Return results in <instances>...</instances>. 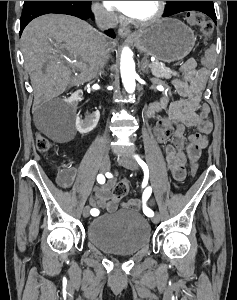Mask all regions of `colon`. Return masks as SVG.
Instances as JSON below:
<instances>
[{
  "label": "colon",
  "instance_id": "colon-1",
  "mask_svg": "<svg viewBox=\"0 0 237 300\" xmlns=\"http://www.w3.org/2000/svg\"><path fill=\"white\" fill-rule=\"evenodd\" d=\"M186 20L191 26L199 27L205 38H210L213 34V24L205 18V16L199 11H189L186 14ZM215 61L214 49H209L206 55L202 59L204 66H211ZM36 147L40 152H48L52 148L51 142L42 134H38L36 137ZM198 170V164L194 161L190 167L192 176H195ZM128 193L127 181H121L113 190V198L115 200H121Z\"/></svg>",
  "mask_w": 237,
  "mask_h": 300
}]
</instances>
